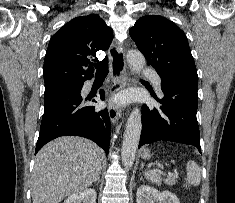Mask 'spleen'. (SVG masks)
I'll return each mask as SVG.
<instances>
[{"mask_svg": "<svg viewBox=\"0 0 235 203\" xmlns=\"http://www.w3.org/2000/svg\"><path fill=\"white\" fill-rule=\"evenodd\" d=\"M186 170H187V180L190 184L194 186H198L201 181V175H200V168L196 164V162L190 160L186 164ZM145 177L147 180L156 183V184H161L162 179L160 178V175L156 171H147L145 172Z\"/></svg>", "mask_w": 235, "mask_h": 203, "instance_id": "3e777b00", "label": "spleen"}]
</instances>
